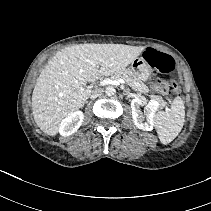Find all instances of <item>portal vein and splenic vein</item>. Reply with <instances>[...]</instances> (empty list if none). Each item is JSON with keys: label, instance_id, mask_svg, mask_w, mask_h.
Returning a JSON list of instances; mask_svg holds the SVG:
<instances>
[{"label": "portal vein and splenic vein", "instance_id": "obj_1", "mask_svg": "<svg viewBox=\"0 0 211 211\" xmlns=\"http://www.w3.org/2000/svg\"><path fill=\"white\" fill-rule=\"evenodd\" d=\"M125 81L123 79H116V80H111V79H104L103 81L100 82L101 86L108 85V84H123ZM166 111H168V108H166Z\"/></svg>", "mask_w": 211, "mask_h": 211}]
</instances>
